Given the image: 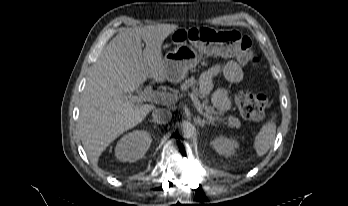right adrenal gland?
<instances>
[{"instance_id": "1", "label": "right adrenal gland", "mask_w": 348, "mask_h": 206, "mask_svg": "<svg viewBox=\"0 0 348 206\" xmlns=\"http://www.w3.org/2000/svg\"><path fill=\"white\" fill-rule=\"evenodd\" d=\"M149 121H150V122H154V123H155V121H154L153 119H150ZM155 124H156V123H155ZM154 127H155V125H154Z\"/></svg>"}]
</instances>
